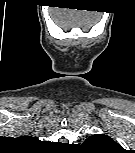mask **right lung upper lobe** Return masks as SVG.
<instances>
[{"label":"right lung upper lobe","instance_id":"cb5924a9","mask_svg":"<svg viewBox=\"0 0 135 153\" xmlns=\"http://www.w3.org/2000/svg\"><path fill=\"white\" fill-rule=\"evenodd\" d=\"M25 138H27V139H33L32 137H29V136H26Z\"/></svg>","mask_w":135,"mask_h":153}]
</instances>
